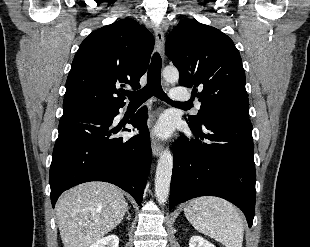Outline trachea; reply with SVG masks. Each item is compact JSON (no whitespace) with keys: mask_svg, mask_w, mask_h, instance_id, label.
Instances as JSON below:
<instances>
[{"mask_svg":"<svg viewBox=\"0 0 310 247\" xmlns=\"http://www.w3.org/2000/svg\"><path fill=\"white\" fill-rule=\"evenodd\" d=\"M161 66H162V60L159 53H154L148 70V78L146 86L138 91L125 93L129 98L130 103L142 104L152 96H155L170 104L188 105L187 103L172 101L164 93L161 87Z\"/></svg>","mask_w":310,"mask_h":247,"instance_id":"3493384b","label":"trachea"}]
</instances>
